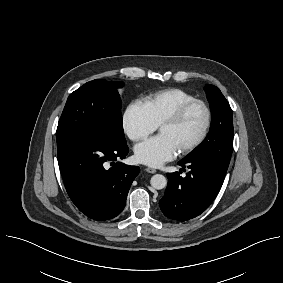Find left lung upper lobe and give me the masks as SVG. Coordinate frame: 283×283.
<instances>
[{
  "label": "left lung upper lobe",
  "instance_id": "5c2ea615",
  "mask_svg": "<svg viewBox=\"0 0 283 283\" xmlns=\"http://www.w3.org/2000/svg\"><path fill=\"white\" fill-rule=\"evenodd\" d=\"M205 92L212 113L210 132L204 141L183 159L209 158L229 166L233 151L232 110L219 88L207 84Z\"/></svg>",
  "mask_w": 283,
  "mask_h": 283
}]
</instances>
